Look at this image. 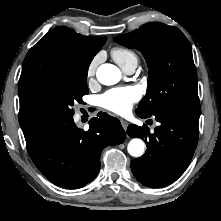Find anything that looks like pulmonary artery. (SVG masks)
Masks as SVG:
<instances>
[{
  "label": "pulmonary artery",
  "mask_w": 221,
  "mask_h": 221,
  "mask_svg": "<svg viewBox=\"0 0 221 221\" xmlns=\"http://www.w3.org/2000/svg\"><path fill=\"white\" fill-rule=\"evenodd\" d=\"M136 66H137V64L131 63L122 69L128 74H132L135 71Z\"/></svg>",
  "instance_id": "obj_1"
}]
</instances>
